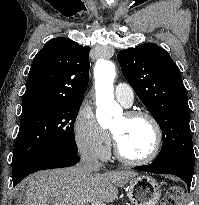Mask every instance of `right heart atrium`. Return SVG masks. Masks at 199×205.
I'll list each match as a JSON object with an SVG mask.
<instances>
[{"label": "right heart atrium", "mask_w": 199, "mask_h": 205, "mask_svg": "<svg viewBox=\"0 0 199 205\" xmlns=\"http://www.w3.org/2000/svg\"><path fill=\"white\" fill-rule=\"evenodd\" d=\"M74 138L79 152L94 159L109 155V134L99 125L92 108L82 106L74 124Z\"/></svg>", "instance_id": "right-heart-atrium-1"}]
</instances>
